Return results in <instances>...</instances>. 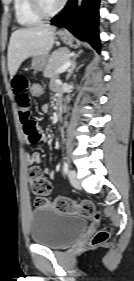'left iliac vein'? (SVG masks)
<instances>
[{"label":"left iliac vein","instance_id":"4c4485c4","mask_svg":"<svg viewBox=\"0 0 134 281\" xmlns=\"http://www.w3.org/2000/svg\"><path fill=\"white\" fill-rule=\"evenodd\" d=\"M68 177L70 180V183L74 186V187H79L80 186V181L77 177V173L74 170H69L68 171Z\"/></svg>","mask_w":134,"mask_h":281}]
</instances>
